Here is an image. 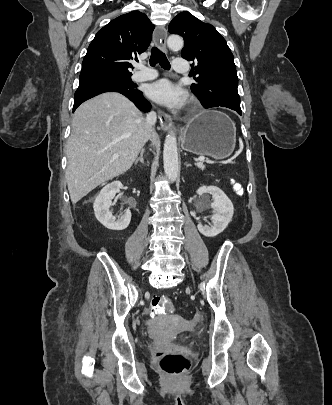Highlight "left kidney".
<instances>
[{
	"instance_id": "obj_1",
	"label": "left kidney",
	"mask_w": 332,
	"mask_h": 405,
	"mask_svg": "<svg viewBox=\"0 0 332 405\" xmlns=\"http://www.w3.org/2000/svg\"><path fill=\"white\" fill-rule=\"evenodd\" d=\"M204 193L212 195L213 202L211 203V208L214 214L211 217V224L202 225L199 223L197 228L204 236L214 237L228 226L234 213V207L227 195L216 186H202L197 190L198 195Z\"/></svg>"
}]
</instances>
